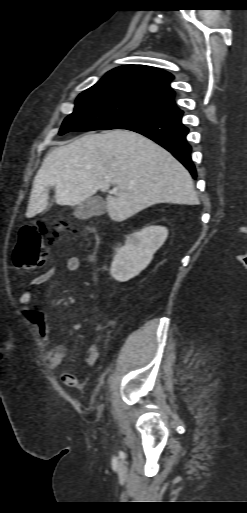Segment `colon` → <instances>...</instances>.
Returning <instances> with one entry per match:
<instances>
[{
  "label": "colon",
  "instance_id": "5ec220e1",
  "mask_svg": "<svg viewBox=\"0 0 247 513\" xmlns=\"http://www.w3.org/2000/svg\"><path fill=\"white\" fill-rule=\"evenodd\" d=\"M66 226L55 223L24 225L17 236L12 254L13 265L18 270H27L42 266L51 246L55 245Z\"/></svg>",
  "mask_w": 247,
  "mask_h": 513
}]
</instances>
